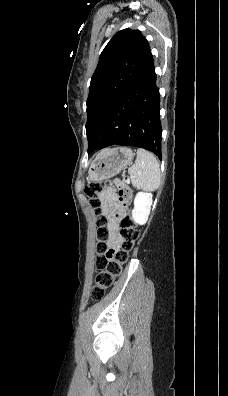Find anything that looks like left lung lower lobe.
Here are the masks:
<instances>
[{
	"mask_svg": "<svg viewBox=\"0 0 228 396\" xmlns=\"http://www.w3.org/2000/svg\"><path fill=\"white\" fill-rule=\"evenodd\" d=\"M118 104L121 105L117 109L119 114L102 129L98 149L111 145L136 146L155 153L161 159L160 94L153 58ZM121 108L122 111L119 110Z\"/></svg>",
	"mask_w": 228,
	"mask_h": 396,
	"instance_id": "left-lung-lower-lobe-1",
	"label": "left lung lower lobe"
}]
</instances>
